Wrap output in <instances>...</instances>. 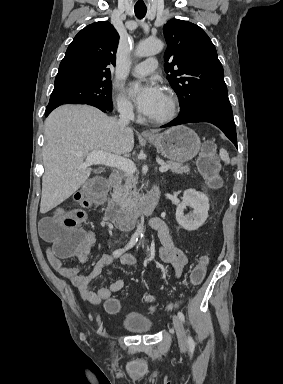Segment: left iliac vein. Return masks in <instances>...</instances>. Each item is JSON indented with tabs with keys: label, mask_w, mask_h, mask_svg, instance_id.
<instances>
[{
	"label": "left iliac vein",
	"mask_w": 283,
	"mask_h": 384,
	"mask_svg": "<svg viewBox=\"0 0 283 384\" xmlns=\"http://www.w3.org/2000/svg\"><path fill=\"white\" fill-rule=\"evenodd\" d=\"M173 325L177 334L180 348L182 350H186L188 347L187 336H186L181 319L176 315H173Z\"/></svg>",
	"instance_id": "1"
}]
</instances>
